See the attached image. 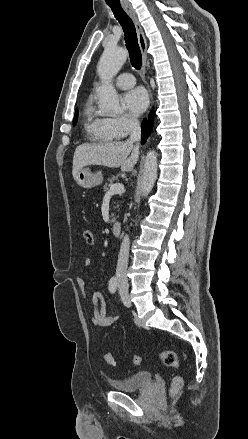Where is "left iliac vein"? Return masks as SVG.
Listing matches in <instances>:
<instances>
[{
	"mask_svg": "<svg viewBox=\"0 0 248 439\" xmlns=\"http://www.w3.org/2000/svg\"><path fill=\"white\" fill-rule=\"evenodd\" d=\"M121 299H122V302L124 303L125 306H127V307L130 306V300H129V296L127 293H121Z\"/></svg>",
	"mask_w": 248,
	"mask_h": 439,
	"instance_id": "1",
	"label": "left iliac vein"
}]
</instances>
